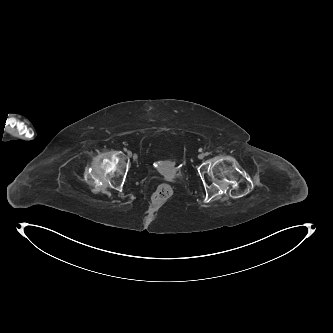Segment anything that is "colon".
I'll list each match as a JSON object with an SVG mask.
<instances>
[{
    "label": "colon",
    "mask_w": 333,
    "mask_h": 333,
    "mask_svg": "<svg viewBox=\"0 0 333 333\" xmlns=\"http://www.w3.org/2000/svg\"><path fill=\"white\" fill-rule=\"evenodd\" d=\"M173 195V190L168 184H161L151 197V203L159 208L164 205Z\"/></svg>",
    "instance_id": "1"
}]
</instances>
